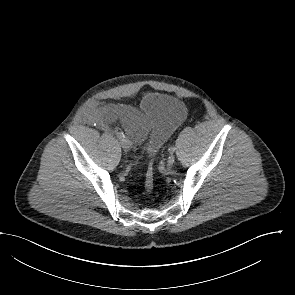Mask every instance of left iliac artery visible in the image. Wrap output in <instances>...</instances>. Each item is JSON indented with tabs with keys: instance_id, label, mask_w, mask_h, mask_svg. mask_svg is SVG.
<instances>
[{
	"instance_id": "1",
	"label": "left iliac artery",
	"mask_w": 295,
	"mask_h": 295,
	"mask_svg": "<svg viewBox=\"0 0 295 295\" xmlns=\"http://www.w3.org/2000/svg\"><path fill=\"white\" fill-rule=\"evenodd\" d=\"M168 151H169L170 153H173V152L175 151V147H174V146L169 147Z\"/></svg>"
}]
</instances>
